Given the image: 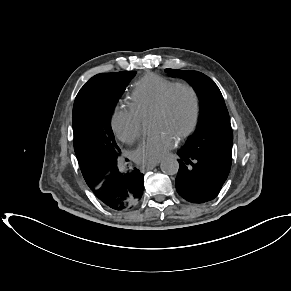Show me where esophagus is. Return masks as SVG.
<instances>
[{
	"mask_svg": "<svg viewBox=\"0 0 291 291\" xmlns=\"http://www.w3.org/2000/svg\"><path fill=\"white\" fill-rule=\"evenodd\" d=\"M158 164H159V162L145 164V165L143 166V169L151 170V169H153L154 167H156Z\"/></svg>",
	"mask_w": 291,
	"mask_h": 291,
	"instance_id": "esophagus-1",
	"label": "esophagus"
}]
</instances>
